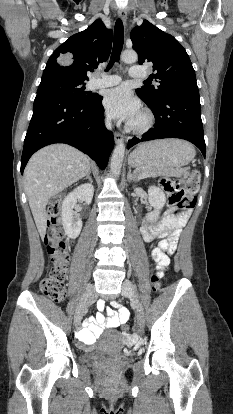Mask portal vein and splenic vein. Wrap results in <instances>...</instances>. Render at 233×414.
<instances>
[{"label": "portal vein and splenic vein", "mask_w": 233, "mask_h": 414, "mask_svg": "<svg viewBox=\"0 0 233 414\" xmlns=\"http://www.w3.org/2000/svg\"><path fill=\"white\" fill-rule=\"evenodd\" d=\"M142 178H144V175L139 176V179H142Z\"/></svg>", "instance_id": "1"}]
</instances>
